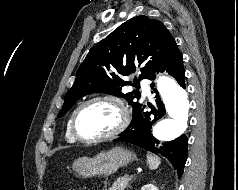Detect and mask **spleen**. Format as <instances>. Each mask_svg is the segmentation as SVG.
I'll list each match as a JSON object with an SVG mask.
<instances>
[{"instance_id":"3e777b00","label":"spleen","mask_w":238,"mask_h":190,"mask_svg":"<svg viewBox=\"0 0 238 190\" xmlns=\"http://www.w3.org/2000/svg\"><path fill=\"white\" fill-rule=\"evenodd\" d=\"M147 164L149 165V169L154 170L157 169L161 163L159 157L152 155L150 153L147 154Z\"/></svg>"}]
</instances>
